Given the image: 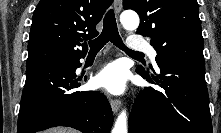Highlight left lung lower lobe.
<instances>
[{"instance_id": "0a47b994", "label": "left lung lower lobe", "mask_w": 221, "mask_h": 133, "mask_svg": "<svg viewBox=\"0 0 221 133\" xmlns=\"http://www.w3.org/2000/svg\"><path fill=\"white\" fill-rule=\"evenodd\" d=\"M158 66V77L141 66L136 69L165 91H140L129 117V133H212L204 64L174 60Z\"/></svg>"}]
</instances>
